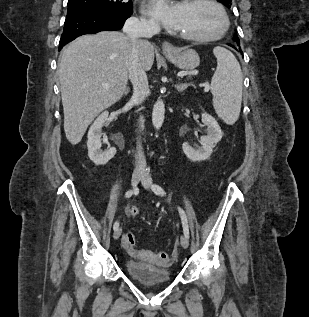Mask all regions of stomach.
I'll return each instance as SVG.
<instances>
[{"label": "stomach", "instance_id": "1", "mask_svg": "<svg viewBox=\"0 0 309 317\" xmlns=\"http://www.w3.org/2000/svg\"><path fill=\"white\" fill-rule=\"evenodd\" d=\"M166 57L182 70H192L199 65L200 58L193 49L177 48L171 52H165Z\"/></svg>", "mask_w": 309, "mask_h": 317}]
</instances>
